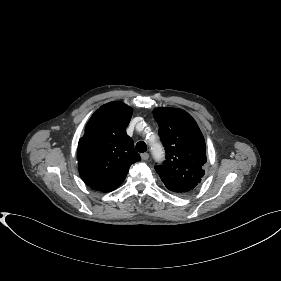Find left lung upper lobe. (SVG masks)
<instances>
[{
	"instance_id": "left-lung-upper-lobe-1",
	"label": "left lung upper lobe",
	"mask_w": 281,
	"mask_h": 281,
	"mask_svg": "<svg viewBox=\"0 0 281 281\" xmlns=\"http://www.w3.org/2000/svg\"><path fill=\"white\" fill-rule=\"evenodd\" d=\"M153 115L166 149V160L155 167L166 188L178 194L193 192L206 168L204 137L195 120L177 108L159 107Z\"/></svg>"
}]
</instances>
